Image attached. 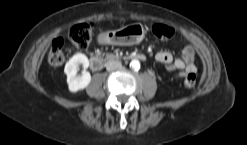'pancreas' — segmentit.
<instances>
[{
    "label": "pancreas",
    "instance_id": "cf45deb5",
    "mask_svg": "<svg viewBox=\"0 0 247 145\" xmlns=\"http://www.w3.org/2000/svg\"><path fill=\"white\" fill-rule=\"evenodd\" d=\"M110 57H112V58H117V56H113V55H111Z\"/></svg>",
    "mask_w": 247,
    "mask_h": 145
}]
</instances>
